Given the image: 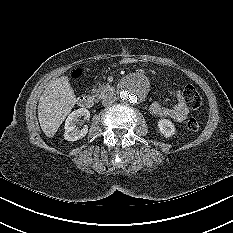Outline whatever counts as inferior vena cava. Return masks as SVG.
<instances>
[{
    "instance_id": "inferior-vena-cava-1",
    "label": "inferior vena cava",
    "mask_w": 233,
    "mask_h": 233,
    "mask_svg": "<svg viewBox=\"0 0 233 233\" xmlns=\"http://www.w3.org/2000/svg\"><path fill=\"white\" fill-rule=\"evenodd\" d=\"M116 101V96L114 95H109L107 97H105L103 100H102V105L103 106H108L112 103H114Z\"/></svg>"
}]
</instances>
